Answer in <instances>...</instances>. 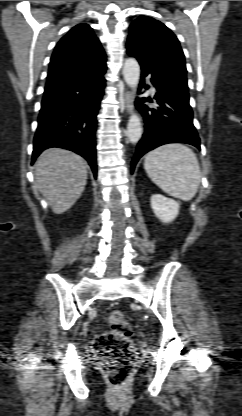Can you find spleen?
I'll return each instance as SVG.
<instances>
[{"label": "spleen", "instance_id": "3e777b00", "mask_svg": "<svg viewBox=\"0 0 242 416\" xmlns=\"http://www.w3.org/2000/svg\"><path fill=\"white\" fill-rule=\"evenodd\" d=\"M149 178L164 192L184 201L197 193L201 171L196 154L180 143L162 145L144 160Z\"/></svg>", "mask_w": 242, "mask_h": 416}]
</instances>
